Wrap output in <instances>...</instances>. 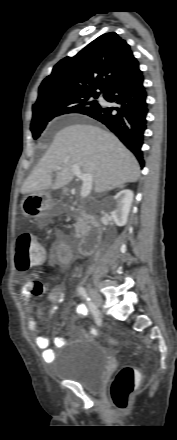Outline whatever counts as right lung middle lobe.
<instances>
[{"label":"right lung middle lobe","mask_w":177,"mask_h":440,"mask_svg":"<svg viewBox=\"0 0 177 440\" xmlns=\"http://www.w3.org/2000/svg\"><path fill=\"white\" fill-rule=\"evenodd\" d=\"M98 96L99 94L63 96L46 105L33 108V118L30 128L33 138L37 139L47 126L48 122L57 116L67 113L85 114L98 107V102L96 100H91L92 97L96 99Z\"/></svg>","instance_id":"1"}]
</instances>
